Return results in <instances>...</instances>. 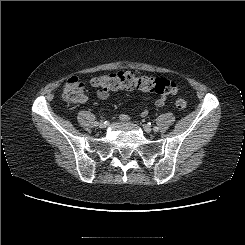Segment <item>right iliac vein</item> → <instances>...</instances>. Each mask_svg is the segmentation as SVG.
I'll use <instances>...</instances> for the list:
<instances>
[{
  "label": "right iliac vein",
  "instance_id": "1",
  "mask_svg": "<svg viewBox=\"0 0 245 245\" xmlns=\"http://www.w3.org/2000/svg\"><path fill=\"white\" fill-rule=\"evenodd\" d=\"M98 126H99V128H105V127H107V124L105 122L101 121L98 123Z\"/></svg>",
  "mask_w": 245,
  "mask_h": 245
}]
</instances>
